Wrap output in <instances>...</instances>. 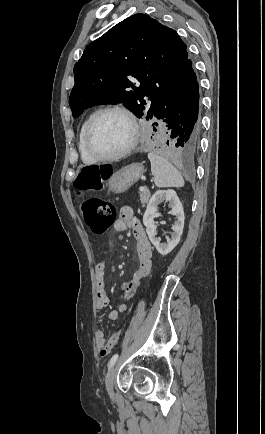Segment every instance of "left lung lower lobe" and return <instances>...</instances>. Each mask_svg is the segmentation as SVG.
<instances>
[{"label": "left lung lower lobe", "instance_id": "1", "mask_svg": "<svg viewBox=\"0 0 265 434\" xmlns=\"http://www.w3.org/2000/svg\"><path fill=\"white\" fill-rule=\"evenodd\" d=\"M199 84L190 59L177 75L173 83L161 97L154 117L162 119L168 128L171 140L152 146L164 153L176 149L179 153L190 155L197 150L201 132L199 116Z\"/></svg>", "mask_w": 265, "mask_h": 434}]
</instances>
